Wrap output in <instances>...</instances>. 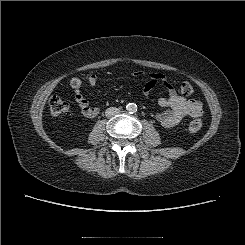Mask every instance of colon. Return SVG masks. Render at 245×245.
<instances>
[{
  "label": "colon",
  "instance_id": "colon-1",
  "mask_svg": "<svg viewBox=\"0 0 245 245\" xmlns=\"http://www.w3.org/2000/svg\"><path fill=\"white\" fill-rule=\"evenodd\" d=\"M68 86L72 90L78 91L82 88V79L79 76H73L69 79ZM180 90L185 96H190L194 92L193 86L188 82L182 83ZM49 108L52 114L60 115L68 111L69 102L60 96H53L49 100ZM201 128L202 121L199 118L192 120L188 126V130L192 134L197 133Z\"/></svg>",
  "mask_w": 245,
  "mask_h": 245
}]
</instances>
